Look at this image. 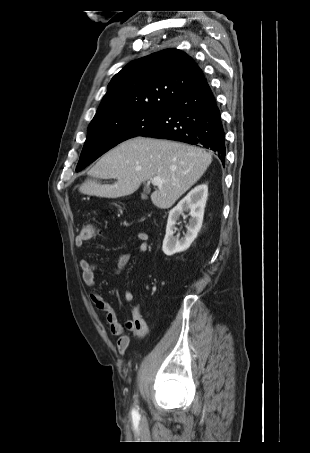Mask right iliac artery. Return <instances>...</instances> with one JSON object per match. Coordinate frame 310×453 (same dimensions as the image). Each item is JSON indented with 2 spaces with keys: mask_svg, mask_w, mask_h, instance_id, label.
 Here are the masks:
<instances>
[{
  "mask_svg": "<svg viewBox=\"0 0 310 453\" xmlns=\"http://www.w3.org/2000/svg\"><path fill=\"white\" fill-rule=\"evenodd\" d=\"M132 415H133V416H137V415H138V411H137L136 409H134V410L132 411Z\"/></svg>",
  "mask_w": 310,
  "mask_h": 453,
  "instance_id": "right-iliac-artery-1",
  "label": "right iliac artery"
}]
</instances>
